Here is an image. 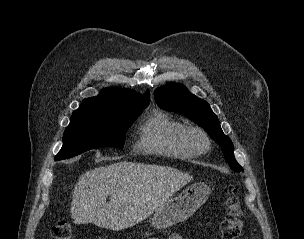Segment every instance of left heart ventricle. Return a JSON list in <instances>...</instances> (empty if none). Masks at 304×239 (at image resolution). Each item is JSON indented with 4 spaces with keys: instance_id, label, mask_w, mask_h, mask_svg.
I'll use <instances>...</instances> for the list:
<instances>
[{
    "instance_id": "b2bd125f",
    "label": "left heart ventricle",
    "mask_w": 304,
    "mask_h": 239,
    "mask_svg": "<svg viewBox=\"0 0 304 239\" xmlns=\"http://www.w3.org/2000/svg\"><path fill=\"white\" fill-rule=\"evenodd\" d=\"M193 139H194V142L197 145H202L203 144V141H202V139L199 136H195Z\"/></svg>"
}]
</instances>
